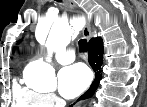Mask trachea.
Wrapping results in <instances>:
<instances>
[{"label":"trachea","mask_w":147,"mask_h":107,"mask_svg":"<svg viewBox=\"0 0 147 107\" xmlns=\"http://www.w3.org/2000/svg\"><path fill=\"white\" fill-rule=\"evenodd\" d=\"M58 2H62L61 0H57ZM79 50L80 51H87L88 49V43L86 39L79 40Z\"/></svg>","instance_id":"trachea-1"}]
</instances>
